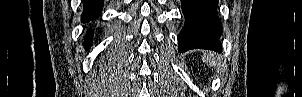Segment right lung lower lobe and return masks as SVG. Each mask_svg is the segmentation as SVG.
<instances>
[{
  "instance_id": "1",
  "label": "right lung lower lobe",
  "mask_w": 302,
  "mask_h": 97,
  "mask_svg": "<svg viewBox=\"0 0 302 97\" xmlns=\"http://www.w3.org/2000/svg\"><path fill=\"white\" fill-rule=\"evenodd\" d=\"M82 22H89L99 17L103 8V0H83ZM92 30L89 29L85 36V47L89 48L92 42Z\"/></svg>"
}]
</instances>
